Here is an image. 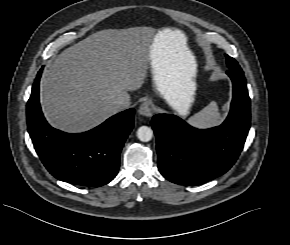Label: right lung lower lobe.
I'll return each instance as SVG.
<instances>
[{"instance_id": "98d812e1", "label": "right lung lower lobe", "mask_w": 290, "mask_h": 245, "mask_svg": "<svg viewBox=\"0 0 290 245\" xmlns=\"http://www.w3.org/2000/svg\"><path fill=\"white\" fill-rule=\"evenodd\" d=\"M37 74L27 102V126L34 148L57 179L84 186H102L118 173L120 152L134 125V109L120 112L96 128L69 134L52 128L39 102Z\"/></svg>"}]
</instances>
